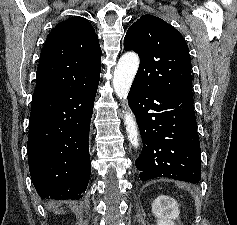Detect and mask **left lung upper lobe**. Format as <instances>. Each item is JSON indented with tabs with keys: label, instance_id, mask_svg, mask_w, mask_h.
<instances>
[{
	"label": "left lung upper lobe",
	"instance_id": "obj_1",
	"mask_svg": "<svg viewBox=\"0 0 237 225\" xmlns=\"http://www.w3.org/2000/svg\"><path fill=\"white\" fill-rule=\"evenodd\" d=\"M124 49L133 50L140 57L133 83L142 90L193 97L188 46L167 22L150 14L141 16L129 27Z\"/></svg>",
	"mask_w": 237,
	"mask_h": 225
}]
</instances>
